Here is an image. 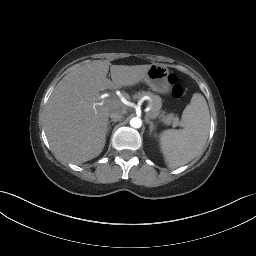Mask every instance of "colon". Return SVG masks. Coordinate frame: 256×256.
<instances>
[{"label": "colon", "instance_id": "obj_1", "mask_svg": "<svg viewBox=\"0 0 256 256\" xmlns=\"http://www.w3.org/2000/svg\"><path fill=\"white\" fill-rule=\"evenodd\" d=\"M169 82L172 86V95L174 98H181L183 95V87L181 84L178 82V79L175 75H170L169 76Z\"/></svg>", "mask_w": 256, "mask_h": 256}]
</instances>
